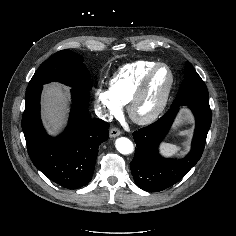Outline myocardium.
Masks as SVG:
<instances>
[{"mask_svg": "<svg viewBox=\"0 0 236 236\" xmlns=\"http://www.w3.org/2000/svg\"><path fill=\"white\" fill-rule=\"evenodd\" d=\"M161 68L166 69L169 74V81L166 86V89L157 106L149 114L140 116L137 114V107L141 102V100L143 99L152 77ZM174 80L175 79L173 71L168 65L164 63H157L151 69H149L147 73L144 75L143 79L141 80L136 91L130 98L129 102L127 103V112L129 117L139 125H148L156 121L166 108V105L168 103V100L170 98L174 86Z\"/></svg>", "mask_w": 236, "mask_h": 236, "instance_id": "obj_1", "label": "myocardium"}]
</instances>
